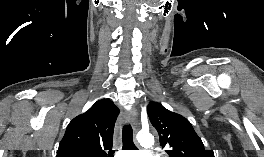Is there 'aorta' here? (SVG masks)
Returning <instances> with one entry per match:
<instances>
[{
    "instance_id": "aorta-1",
    "label": "aorta",
    "mask_w": 264,
    "mask_h": 157,
    "mask_svg": "<svg viewBox=\"0 0 264 157\" xmlns=\"http://www.w3.org/2000/svg\"><path fill=\"white\" fill-rule=\"evenodd\" d=\"M137 140L143 147H150L153 144V136L150 133H140Z\"/></svg>"
}]
</instances>
